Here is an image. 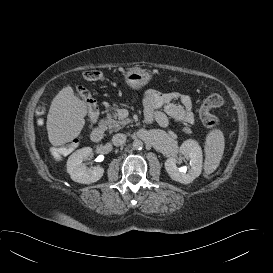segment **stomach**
<instances>
[{
    "mask_svg": "<svg viewBox=\"0 0 273 273\" xmlns=\"http://www.w3.org/2000/svg\"><path fill=\"white\" fill-rule=\"evenodd\" d=\"M151 79L152 75L140 67L130 68L124 74L125 83L134 90L141 89L147 85Z\"/></svg>",
    "mask_w": 273,
    "mask_h": 273,
    "instance_id": "stomach-1",
    "label": "stomach"
}]
</instances>
